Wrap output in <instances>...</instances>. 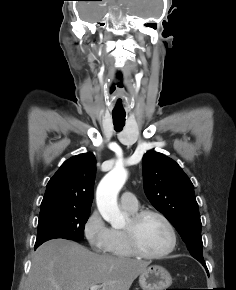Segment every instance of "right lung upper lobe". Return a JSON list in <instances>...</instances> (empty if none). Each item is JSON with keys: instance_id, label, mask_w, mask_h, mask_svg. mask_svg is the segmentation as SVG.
I'll use <instances>...</instances> for the list:
<instances>
[{"instance_id": "obj_1", "label": "right lung upper lobe", "mask_w": 236, "mask_h": 290, "mask_svg": "<svg viewBox=\"0 0 236 290\" xmlns=\"http://www.w3.org/2000/svg\"><path fill=\"white\" fill-rule=\"evenodd\" d=\"M96 159L92 153L66 160L47 184L41 210L90 209L93 201Z\"/></svg>"}]
</instances>
